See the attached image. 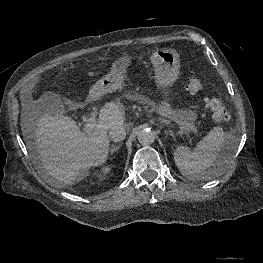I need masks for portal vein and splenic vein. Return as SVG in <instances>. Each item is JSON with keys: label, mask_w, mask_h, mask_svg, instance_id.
Returning a JSON list of instances; mask_svg holds the SVG:
<instances>
[{"label": "portal vein and splenic vein", "mask_w": 263, "mask_h": 263, "mask_svg": "<svg viewBox=\"0 0 263 263\" xmlns=\"http://www.w3.org/2000/svg\"><path fill=\"white\" fill-rule=\"evenodd\" d=\"M97 126V120L95 118L94 113L91 114V116L87 119V123L85 124V131L91 132L95 127Z\"/></svg>", "instance_id": "1"}]
</instances>
